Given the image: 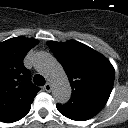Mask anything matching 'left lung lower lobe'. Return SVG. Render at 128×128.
Here are the masks:
<instances>
[{
	"instance_id": "obj_1",
	"label": "left lung lower lobe",
	"mask_w": 128,
	"mask_h": 128,
	"mask_svg": "<svg viewBox=\"0 0 128 128\" xmlns=\"http://www.w3.org/2000/svg\"><path fill=\"white\" fill-rule=\"evenodd\" d=\"M102 106L94 105V104H85V103H76V102H68L64 105H57L58 111L70 118L72 120L77 121H85L102 110Z\"/></svg>"
}]
</instances>
